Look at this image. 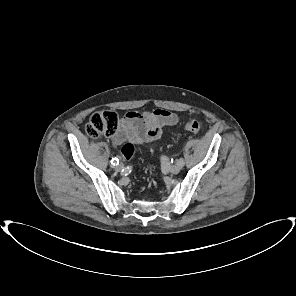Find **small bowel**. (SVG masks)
Instances as JSON below:
<instances>
[{"mask_svg":"<svg viewBox=\"0 0 296 296\" xmlns=\"http://www.w3.org/2000/svg\"><path fill=\"white\" fill-rule=\"evenodd\" d=\"M179 121L177 114L166 109L150 112H128L113 137V143L120 145L124 141L142 144L160 138L165 130Z\"/></svg>","mask_w":296,"mask_h":296,"instance_id":"1","label":"small bowel"}]
</instances>
